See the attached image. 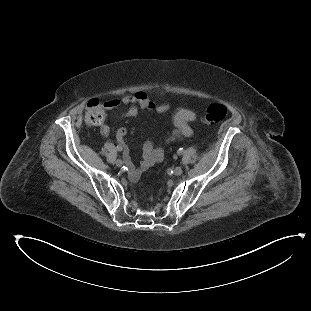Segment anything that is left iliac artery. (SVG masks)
<instances>
[{"label": "left iliac artery", "instance_id": "44dca946", "mask_svg": "<svg viewBox=\"0 0 311 311\" xmlns=\"http://www.w3.org/2000/svg\"><path fill=\"white\" fill-rule=\"evenodd\" d=\"M183 152H184V149H183V148H179V150L177 151V153H178L179 155H182Z\"/></svg>", "mask_w": 311, "mask_h": 311}]
</instances>
